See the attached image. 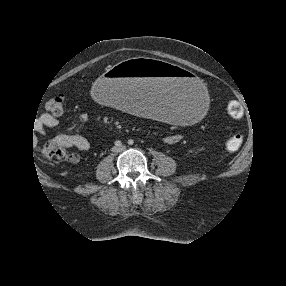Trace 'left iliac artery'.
I'll return each mask as SVG.
<instances>
[{"mask_svg": "<svg viewBox=\"0 0 286 286\" xmlns=\"http://www.w3.org/2000/svg\"><path fill=\"white\" fill-rule=\"evenodd\" d=\"M133 143H134V141H133L132 139H130V140L128 141V144H129V145H133Z\"/></svg>", "mask_w": 286, "mask_h": 286, "instance_id": "obj_1", "label": "left iliac artery"}]
</instances>
